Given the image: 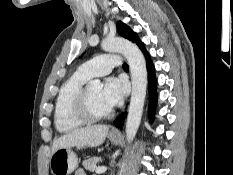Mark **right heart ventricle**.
Returning a JSON list of instances; mask_svg holds the SVG:
<instances>
[{
    "label": "right heart ventricle",
    "mask_w": 233,
    "mask_h": 175,
    "mask_svg": "<svg viewBox=\"0 0 233 175\" xmlns=\"http://www.w3.org/2000/svg\"><path fill=\"white\" fill-rule=\"evenodd\" d=\"M87 80L75 73L62 84L54 108V124L59 132H71L85 125L86 122L78 119L73 114L72 104Z\"/></svg>",
    "instance_id": "right-heart-ventricle-1"
}]
</instances>
